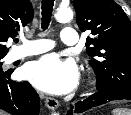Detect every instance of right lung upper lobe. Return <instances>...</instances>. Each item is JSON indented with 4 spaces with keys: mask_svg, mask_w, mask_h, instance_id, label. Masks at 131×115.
I'll return each instance as SVG.
<instances>
[{
    "mask_svg": "<svg viewBox=\"0 0 131 115\" xmlns=\"http://www.w3.org/2000/svg\"><path fill=\"white\" fill-rule=\"evenodd\" d=\"M29 0H0V57L8 53V38L17 36L20 29L33 19Z\"/></svg>",
    "mask_w": 131,
    "mask_h": 115,
    "instance_id": "cb5924a9",
    "label": "right lung upper lobe"
}]
</instances>
